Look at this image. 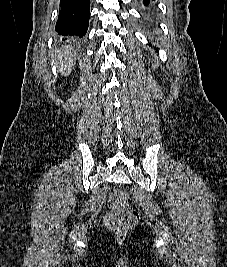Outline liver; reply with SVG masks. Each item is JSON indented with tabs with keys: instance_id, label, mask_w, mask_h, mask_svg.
Returning a JSON list of instances; mask_svg holds the SVG:
<instances>
[{
	"instance_id": "6515ba94",
	"label": "liver",
	"mask_w": 227,
	"mask_h": 267,
	"mask_svg": "<svg viewBox=\"0 0 227 267\" xmlns=\"http://www.w3.org/2000/svg\"><path fill=\"white\" fill-rule=\"evenodd\" d=\"M73 57L74 53L71 51H64L63 53H60L58 56V59L60 61V72L64 76H68L72 72L73 65Z\"/></svg>"
}]
</instances>
